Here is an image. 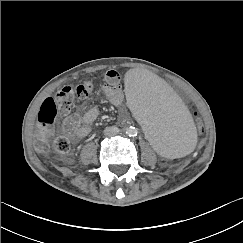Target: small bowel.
I'll return each instance as SVG.
<instances>
[{
  "mask_svg": "<svg viewBox=\"0 0 243 243\" xmlns=\"http://www.w3.org/2000/svg\"><path fill=\"white\" fill-rule=\"evenodd\" d=\"M120 80V74L115 69H110L105 74L104 93L109 101L116 106H120L124 100ZM98 114V108L93 106L84 114L75 112L66 116L63 121V133L73 140L84 138L89 133L91 125L98 117Z\"/></svg>",
  "mask_w": 243,
  "mask_h": 243,
  "instance_id": "c3829d8e",
  "label": "small bowel"
}]
</instances>
